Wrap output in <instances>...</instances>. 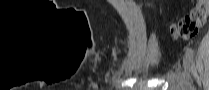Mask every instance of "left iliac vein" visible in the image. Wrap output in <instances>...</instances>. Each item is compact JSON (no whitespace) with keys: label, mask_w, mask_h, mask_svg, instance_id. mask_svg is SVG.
I'll return each mask as SVG.
<instances>
[{"label":"left iliac vein","mask_w":209,"mask_h":90,"mask_svg":"<svg viewBox=\"0 0 209 90\" xmlns=\"http://www.w3.org/2000/svg\"><path fill=\"white\" fill-rule=\"evenodd\" d=\"M183 66L187 71L190 70V58L187 55L183 57Z\"/></svg>","instance_id":"obj_1"}]
</instances>
